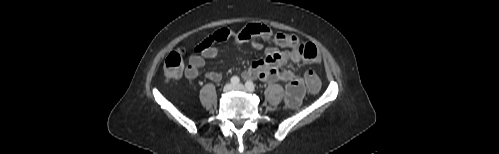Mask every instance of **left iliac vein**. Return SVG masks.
<instances>
[{
    "instance_id": "4c4485c4",
    "label": "left iliac vein",
    "mask_w": 499,
    "mask_h": 154,
    "mask_svg": "<svg viewBox=\"0 0 499 154\" xmlns=\"http://www.w3.org/2000/svg\"><path fill=\"white\" fill-rule=\"evenodd\" d=\"M234 89L239 91H246L245 87L242 84L236 85Z\"/></svg>"
}]
</instances>
